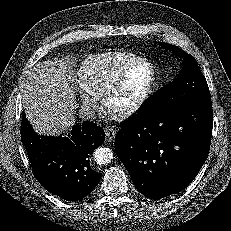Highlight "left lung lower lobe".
Here are the masks:
<instances>
[{
	"label": "left lung lower lobe",
	"mask_w": 231,
	"mask_h": 231,
	"mask_svg": "<svg viewBox=\"0 0 231 231\" xmlns=\"http://www.w3.org/2000/svg\"><path fill=\"white\" fill-rule=\"evenodd\" d=\"M212 121L211 100H195L122 122L115 150L138 191L161 199L185 189L209 154Z\"/></svg>",
	"instance_id": "1"
}]
</instances>
